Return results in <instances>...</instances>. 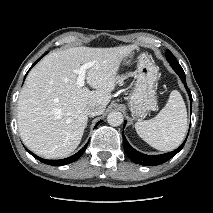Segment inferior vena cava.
I'll return each mask as SVG.
<instances>
[{"instance_id": "obj_1", "label": "inferior vena cava", "mask_w": 213, "mask_h": 213, "mask_svg": "<svg viewBox=\"0 0 213 213\" xmlns=\"http://www.w3.org/2000/svg\"><path fill=\"white\" fill-rule=\"evenodd\" d=\"M104 112V108L96 103H90L86 107V114L90 117L100 115Z\"/></svg>"}]
</instances>
